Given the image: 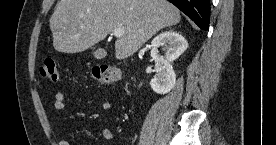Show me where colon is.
<instances>
[{
	"label": "colon",
	"instance_id": "obj_1",
	"mask_svg": "<svg viewBox=\"0 0 276 145\" xmlns=\"http://www.w3.org/2000/svg\"><path fill=\"white\" fill-rule=\"evenodd\" d=\"M39 76L43 80L57 82L59 80V72L56 61L52 58H47L39 68ZM92 77L100 83L109 84L120 82L123 75L115 68L97 65L92 68Z\"/></svg>",
	"mask_w": 276,
	"mask_h": 145
}]
</instances>
